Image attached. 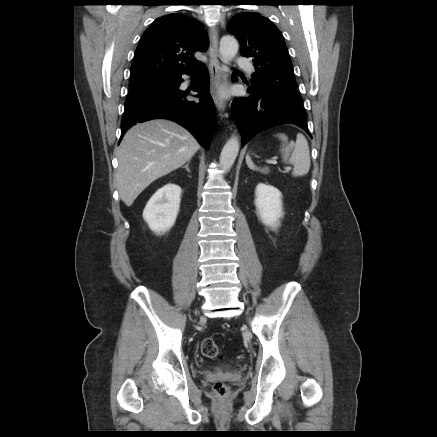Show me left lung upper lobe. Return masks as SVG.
Returning a JSON list of instances; mask_svg holds the SVG:
<instances>
[{"instance_id":"obj_1","label":"left lung upper lobe","mask_w":437,"mask_h":437,"mask_svg":"<svg viewBox=\"0 0 437 437\" xmlns=\"http://www.w3.org/2000/svg\"><path fill=\"white\" fill-rule=\"evenodd\" d=\"M227 30L241 44V55L253 58L255 86L298 99L293 66L279 29L256 12L236 14Z\"/></svg>"}]
</instances>
